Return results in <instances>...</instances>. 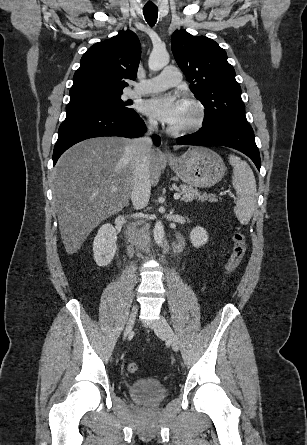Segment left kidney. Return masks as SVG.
I'll use <instances>...</instances> for the list:
<instances>
[{"label":"left kidney","instance_id":"obj_1","mask_svg":"<svg viewBox=\"0 0 307 445\" xmlns=\"http://www.w3.org/2000/svg\"><path fill=\"white\" fill-rule=\"evenodd\" d=\"M190 241L193 245V247H196V249H200L202 245H205L208 241V235L207 231L205 229H202V227H195V229H192L190 233Z\"/></svg>","mask_w":307,"mask_h":445}]
</instances>
